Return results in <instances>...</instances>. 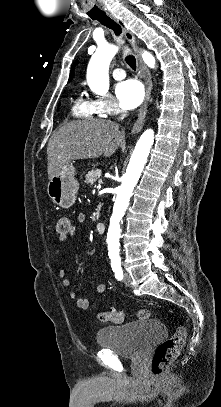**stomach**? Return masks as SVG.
Masks as SVG:
<instances>
[{"label": "stomach", "instance_id": "1", "mask_svg": "<svg viewBox=\"0 0 221 407\" xmlns=\"http://www.w3.org/2000/svg\"><path fill=\"white\" fill-rule=\"evenodd\" d=\"M79 183L72 163H65L47 186L51 200L62 208H70L76 201Z\"/></svg>", "mask_w": 221, "mask_h": 407}]
</instances>
